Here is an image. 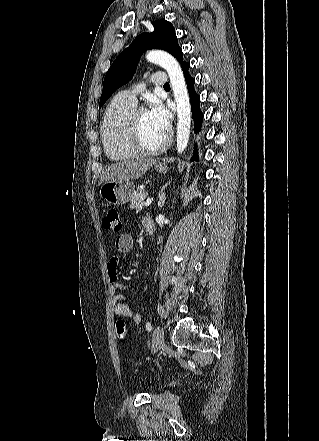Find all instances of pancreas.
<instances>
[{"mask_svg": "<svg viewBox=\"0 0 319 441\" xmlns=\"http://www.w3.org/2000/svg\"><path fill=\"white\" fill-rule=\"evenodd\" d=\"M146 198L147 192L138 189L131 199L130 208L136 213H139L143 209Z\"/></svg>", "mask_w": 319, "mask_h": 441, "instance_id": "cf45deb5", "label": "pancreas"}]
</instances>
